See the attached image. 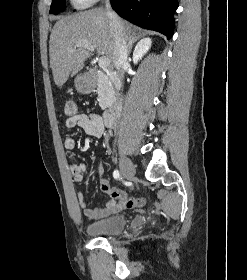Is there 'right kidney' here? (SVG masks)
I'll return each mask as SVG.
<instances>
[{
  "instance_id": "1",
  "label": "right kidney",
  "mask_w": 247,
  "mask_h": 280,
  "mask_svg": "<svg viewBox=\"0 0 247 280\" xmlns=\"http://www.w3.org/2000/svg\"><path fill=\"white\" fill-rule=\"evenodd\" d=\"M151 39L150 38H144L140 40L133 52V62L134 64H137L140 59L147 53L149 48L151 47Z\"/></svg>"
}]
</instances>
